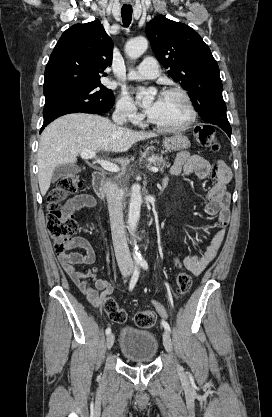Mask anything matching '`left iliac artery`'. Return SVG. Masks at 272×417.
I'll use <instances>...</instances> for the list:
<instances>
[{
    "label": "left iliac artery",
    "mask_w": 272,
    "mask_h": 417,
    "mask_svg": "<svg viewBox=\"0 0 272 417\" xmlns=\"http://www.w3.org/2000/svg\"><path fill=\"white\" fill-rule=\"evenodd\" d=\"M140 265L143 269H145V270L148 269V264L145 260H141ZM161 324L167 331L171 332L170 326L165 320H162Z\"/></svg>",
    "instance_id": "1"
}]
</instances>
